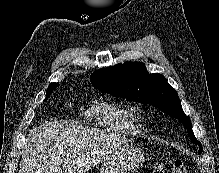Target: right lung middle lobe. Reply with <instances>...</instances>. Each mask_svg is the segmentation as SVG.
<instances>
[{"label":"right lung middle lobe","instance_id":"dd1d6c3e","mask_svg":"<svg viewBox=\"0 0 219 173\" xmlns=\"http://www.w3.org/2000/svg\"><path fill=\"white\" fill-rule=\"evenodd\" d=\"M56 86H58V84L48 87V89H47V91H46V99L50 96L52 90H53Z\"/></svg>","mask_w":219,"mask_h":173}]
</instances>
